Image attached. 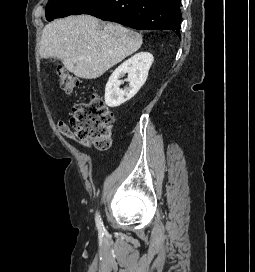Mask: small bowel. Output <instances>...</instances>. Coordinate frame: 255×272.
Listing matches in <instances>:
<instances>
[{"label":"small bowel","instance_id":"1","mask_svg":"<svg viewBox=\"0 0 255 272\" xmlns=\"http://www.w3.org/2000/svg\"><path fill=\"white\" fill-rule=\"evenodd\" d=\"M57 127H58L59 132L63 136H65L66 138H68L70 140H76L73 132L70 129V127L63 120H59L57 122ZM83 144H85V143H83Z\"/></svg>","mask_w":255,"mask_h":272}]
</instances>
